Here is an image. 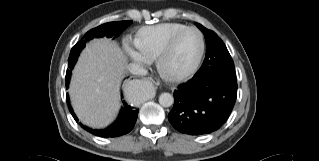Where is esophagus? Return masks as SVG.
<instances>
[{
  "label": "esophagus",
  "mask_w": 319,
  "mask_h": 161,
  "mask_svg": "<svg viewBox=\"0 0 319 161\" xmlns=\"http://www.w3.org/2000/svg\"><path fill=\"white\" fill-rule=\"evenodd\" d=\"M141 79H142V80H146V78H145V77H141Z\"/></svg>",
  "instance_id": "obj_1"
}]
</instances>
